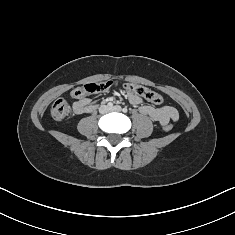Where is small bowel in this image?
Wrapping results in <instances>:
<instances>
[{
    "mask_svg": "<svg viewBox=\"0 0 235 235\" xmlns=\"http://www.w3.org/2000/svg\"><path fill=\"white\" fill-rule=\"evenodd\" d=\"M126 95L130 103L134 105H141V112L149 116L154 121H157L162 126L178 120V110L173 106L166 105L162 107H154L151 105L143 104L142 98L138 95L130 92H127ZM93 107L94 106L90 98L79 99L73 104L74 112L77 114L91 112Z\"/></svg>",
    "mask_w": 235,
    "mask_h": 235,
    "instance_id": "obj_1",
    "label": "small bowel"
}]
</instances>
